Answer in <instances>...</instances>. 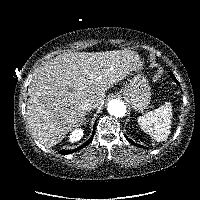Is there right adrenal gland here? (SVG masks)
<instances>
[{
  "instance_id": "right-adrenal-gland-1",
  "label": "right adrenal gland",
  "mask_w": 200,
  "mask_h": 200,
  "mask_svg": "<svg viewBox=\"0 0 200 200\" xmlns=\"http://www.w3.org/2000/svg\"><path fill=\"white\" fill-rule=\"evenodd\" d=\"M86 123H87V119L84 118V119H83V122H82V125H86Z\"/></svg>"
}]
</instances>
